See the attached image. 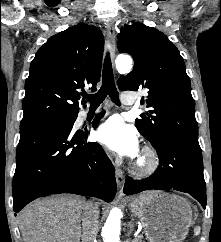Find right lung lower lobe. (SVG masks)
I'll return each instance as SVG.
<instances>
[{
    "mask_svg": "<svg viewBox=\"0 0 221 242\" xmlns=\"http://www.w3.org/2000/svg\"><path fill=\"white\" fill-rule=\"evenodd\" d=\"M77 114L20 127L13 178L16 213L34 199L57 193L113 200L114 167L98 143H84L88 132H72ZM69 117L73 120H62Z\"/></svg>",
    "mask_w": 221,
    "mask_h": 242,
    "instance_id": "right-lung-lower-lobe-1",
    "label": "right lung lower lobe"
}]
</instances>
